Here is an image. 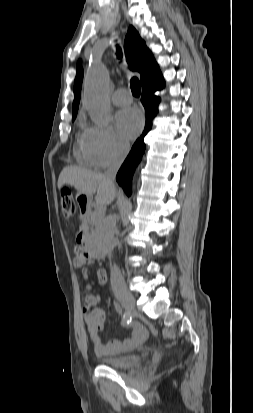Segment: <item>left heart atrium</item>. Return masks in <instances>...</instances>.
Segmentation results:
<instances>
[{"label": "left heart atrium", "instance_id": "1", "mask_svg": "<svg viewBox=\"0 0 253 413\" xmlns=\"http://www.w3.org/2000/svg\"><path fill=\"white\" fill-rule=\"evenodd\" d=\"M116 121L120 134L126 139H132L141 131L144 118L139 109L127 108L118 113Z\"/></svg>", "mask_w": 253, "mask_h": 413}]
</instances>
